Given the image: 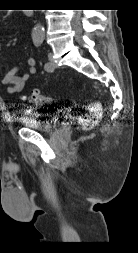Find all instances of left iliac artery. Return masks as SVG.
Returning a JSON list of instances; mask_svg holds the SVG:
<instances>
[{"label": "left iliac artery", "instance_id": "obj_1", "mask_svg": "<svg viewBox=\"0 0 138 253\" xmlns=\"http://www.w3.org/2000/svg\"><path fill=\"white\" fill-rule=\"evenodd\" d=\"M42 42H43L42 39H36L34 43L38 47L42 44ZM44 68H45V70L49 71L50 70V64L48 62L45 63Z\"/></svg>", "mask_w": 138, "mask_h": 253}]
</instances>
